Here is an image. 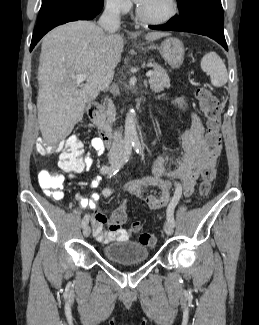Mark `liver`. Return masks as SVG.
<instances>
[{"label":"liver","mask_w":259,"mask_h":325,"mask_svg":"<svg viewBox=\"0 0 259 325\" xmlns=\"http://www.w3.org/2000/svg\"><path fill=\"white\" fill-rule=\"evenodd\" d=\"M169 33L150 32L147 40ZM124 43L115 31L105 33L90 21H74L58 26L42 40L38 68L37 110L39 128L50 145L65 139L80 122L86 104L106 89L120 62ZM86 74L78 88L70 78Z\"/></svg>","instance_id":"6515ba94"}]
</instances>
